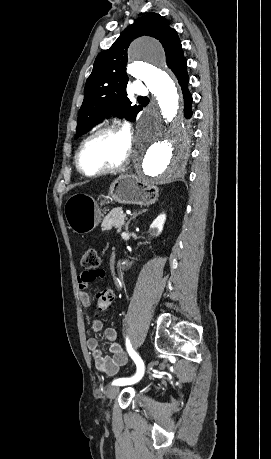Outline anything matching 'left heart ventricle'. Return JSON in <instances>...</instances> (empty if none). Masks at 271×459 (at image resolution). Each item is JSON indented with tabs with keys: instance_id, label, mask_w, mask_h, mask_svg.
<instances>
[{
	"instance_id": "1",
	"label": "left heart ventricle",
	"mask_w": 271,
	"mask_h": 459,
	"mask_svg": "<svg viewBox=\"0 0 271 459\" xmlns=\"http://www.w3.org/2000/svg\"><path fill=\"white\" fill-rule=\"evenodd\" d=\"M126 134L107 131L87 141L81 153V163L86 170H94L121 160L130 148Z\"/></svg>"
}]
</instances>
